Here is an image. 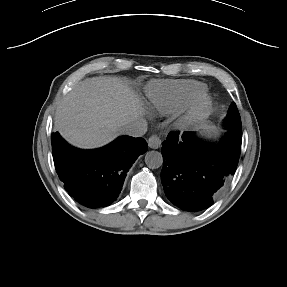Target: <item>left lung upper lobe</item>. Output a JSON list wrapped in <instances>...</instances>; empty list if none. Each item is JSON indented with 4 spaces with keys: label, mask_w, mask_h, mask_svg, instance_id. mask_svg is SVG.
<instances>
[{
    "label": "left lung upper lobe",
    "mask_w": 287,
    "mask_h": 287,
    "mask_svg": "<svg viewBox=\"0 0 287 287\" xmlns=\"http://www.w3.org/2000/svg\"><path fill=\"white\" fill-rule=\"evenodd\" d=\"M225 123L227 124L228 127L234 125H241L240 115L234 102L229 107L228 114L225 118Z\"/></svg>",
    "instance_id": "left-lung-upper-lobe-1"
}]
</instances>
